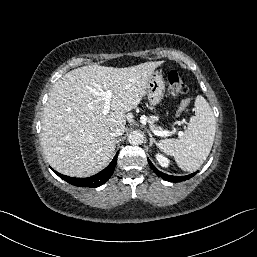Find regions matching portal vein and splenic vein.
<instances>
[{"label": "portal vein and splenic vein", "instance_id": "18ae733b", "mask_svg": "<svg viewBox=\"0 0 257 257\" xmlns=\"http://www.w3.org/2000/svg\"><path fill=\"white\" fill-rule=\"evenodd\" d=\"M97 95H100L103 97V99L105 100V105L103 107L102 113L104 115L108 114L110 112V101L112 98V92L111 90H107V91H100V92H96ZM147 120V118L145 116L141 117V121L143 123H145ZM151 131L157 135V136H162V137H166V136H170L172 133L174 132H169V131H165V130H157V129H151Z\"/></svg>", "mask_w": 257, "mask_h": 257}]
</instances>
